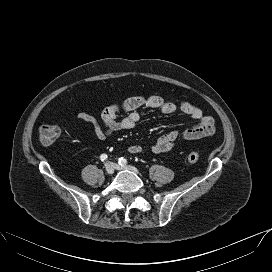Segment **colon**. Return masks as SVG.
Wrapping results in <instances>:
<instances>
[{"label": "colon", "instance_id": "1", "mask_svg": "<svg viewBox=\"0 0 272 272\" xmlns=\"http://www.w3.org/2000/svg\"><path fill=\"white\" fill-rule=\"evenodd\" d=\"M63 133V128L57 124L43 125L39 129L38 137L42 145H50L55 142ZM200 158L199 153L191 152L187 156L189 163H196Z\"/></svg>", "mask_w": 272, "mask_h": 272}]
</instances>
